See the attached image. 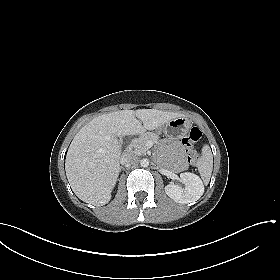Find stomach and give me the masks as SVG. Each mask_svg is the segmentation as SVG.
Listing matches in <instances>:
<instances>
[{"mask_svg": "<svg viewBox=\"0 0 280 280\" xmlns=\"http://www.w3.org/2000/svg\"><path fill=\"white\" fill-rule=\"evenodd\" d=\"M189 128V119L182 116L168 121L163 127V132L167 137L178 139L184 136Z\"/></svg>", "mask_w": 280, "mask_h": 280, "instance_id": "0dacf381", "label": "stomach"}]
</instances>
